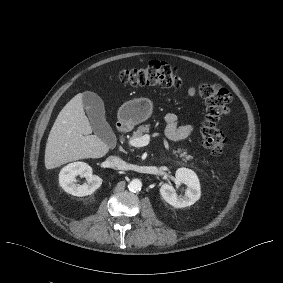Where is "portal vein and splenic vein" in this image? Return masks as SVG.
Instances as JSON below:
<instances>
[{"label": "portal vein and splenic vein", "mask_w": 283, "mask_h": 283, "mask_svg": "<svg viewBox=\"0 0 283 283\" xmlns=\"http://www.w3.org/2000/svg\"><path fill=\"white\" fill-rule=\"evenodd\" d=\"M150 136L145 134L139 138H133L129 141L131 146L134 147H143L149 144Z\"/></svg>", "instance_id": "obj_1"}]
</instances>
